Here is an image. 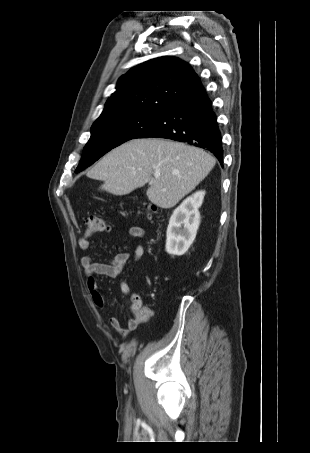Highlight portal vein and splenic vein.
<instances>
[{
    "instance_id": "obj_1",
    "label": "portal vein and splenic vein",
    "mask_w": 310,
    "mask_h": 453,
    "mask_svg": "<svg viewBox=\"0 0 310 453\" xmlns=\"http://www.w3.org/2000/svg\"><path fill=\"white\" fill-rule=\"evenodd\" d=\"M154 176L155 178H159L160 174H155Z\"/></svg>"
}]
</instances>
